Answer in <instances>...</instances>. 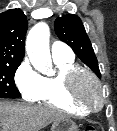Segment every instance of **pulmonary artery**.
I'll return each mask as SVG.
<instances>
[{
    "label": "pulmonary artery",
    "mask_w": 117,
    "mask_h": 131,
    "mask_svg": "<svg viewBox=\"0 0 117 131\" xmlns=\"http://www.w3.org/2000/svg\"><path fill=\"white\" fill-rule=\"evenodd\" d=\"M51 54L53 60L73 58L72 50L64 43L55 41L51 46Z\"/></svg>",
    "instance_id": "e3ab8cb5"
}]
</instances>
